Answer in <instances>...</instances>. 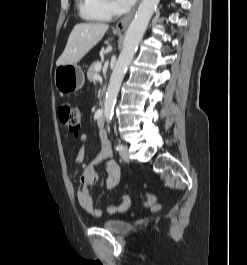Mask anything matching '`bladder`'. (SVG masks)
I'll return each instance as SVG.
<instances>
[{
    "instance_id": "obj_1",
    "label": "bladder",
    "mask_w": 247,
    "mask_h": 265,
    "mask_svg": "<svg viewBox=\"0 0 247 265\" xmlns=\"http://www.w3.org/2000/svg\"><path fill=\"white\" fill-rule=\"evenodd\" d=\"M101 226L115 234H125L132 230L133 225L130 222L121 219L103 220Z\"/></svg>"
}]
</instances>
